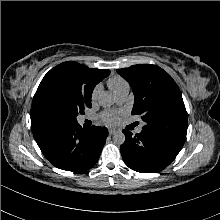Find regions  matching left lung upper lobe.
Here are the masks:
<instances>
[{"label": "left lung upper lobe", "mask_w": 220, "mask_h": 220, "mask_svg": "<svg viewBox=\"0 0 220 220\" xmlns=\"http://www.w3.org/2000/svg\"><path fill=\"white\" fill-rule=\"evenodd\" d=\"M117 72L133 90L132 115H140L146 123L142 131L182 148L187 134V113L172 77L152 64L133 65Z\"/></svg>", "instance_id": "left-lung-upper-lobe-1"}]
</instances>
